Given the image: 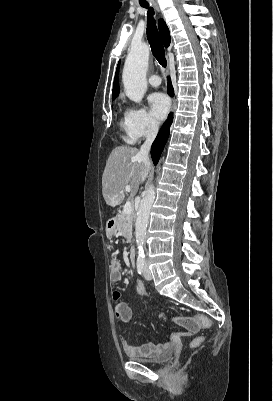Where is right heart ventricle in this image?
Here are the masks:
<instances>
[{
  "instance_id": "right-heart-ventricle-1",
  "label": "right heart ventricle",
  "mask_w": 273,
  "mask_h": 401,
  "mask_svg": "<svg viewBox=\"0 0 273 401\" xmlns=\"http://www.w3.org/2000/svg\"><path fill=\"white\" fill-rule=\"evenodd\" d=\"M125 113H126V111L124 112V118L121 120V122H120V126L122 127V128H125L126 127V120H125ZM129 141L130 142H134L135 141V139H129Z\"/></svg>"
}]
</instances>
